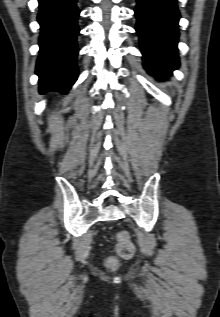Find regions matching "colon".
I'll return each instance as SVG.
<instances>
[{
  "label": "colon",
  "mask_w": 220,
  "mask_h": 317,
  "mask_svg": "<svg viewBox=\"0 0 220 317\" xmlns=\"http://www.w3.org/2000/svg\"><path fill=\"white\" fill-rule=\"evenodd\" d=\"M134 246L129 240L128 235L125 232H120L117 235V255L121 259L128 260L133 256ZM117 262L116 258L109 260V265L114 266Z\"/></svg>",
  "instance_id": "1"
}]
</instances>
